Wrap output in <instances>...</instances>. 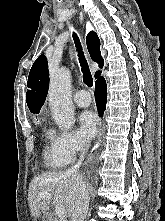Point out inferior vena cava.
<instances>
[{
  "instance_id": "1",
  "label": "inferior vena cava",
  "mask_w": 165,
  "mask_h": 221,
  "mask_svg": "<svg viewBox=\"0 0 165 221\" xmlns=\"http://www.w3.org/2000/svg\"><path fill=\"white\" fill-rule=\"evenodd\" d=\"M81 155L79 161L72 166L66 173L71 175L74 181V194L71 202V218L72 221H84L89 210V193L86 188L82 175L79 173V167L84 159L86 152V144L82 142L80 145Z\"/></svg>"
}]
</instances>
